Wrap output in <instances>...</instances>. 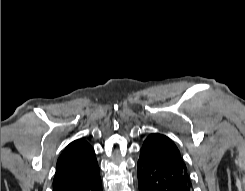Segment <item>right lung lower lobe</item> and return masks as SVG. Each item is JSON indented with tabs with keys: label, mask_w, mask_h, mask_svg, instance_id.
I'll list each match as a JSON object with an SVG mask.
<instances>
[{
	"label": "right lung lower lobe",
	"mask_w": 245,
	"mask_h": 191,
	"mask_svg": "<svg viewBox=\"0 0 245 191\" xmlns=\"http://www.w3.org/2000/svg\"><path fill=\"white\" fill-rule=\"evenodd\" d=\"M53 191H102L98 165L91 172L71 180Z\"/></svg>",
	"instance_id": "right-lung-lower-lobe-1"
}]
</instances>
